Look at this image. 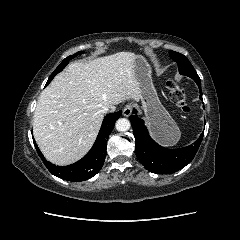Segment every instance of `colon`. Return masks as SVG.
<instances>
[{"mask_svg": "<svg viewBox=\"0 0 240 240\" xmlns=\"http://www.w3.org/2000/svg\"><path fill=\"white\" fill-rule=\"evenodd\" d=\"M166 86L169 90L171 101L183 112L191 113L192 108L186 101V96L183 89L173 80H168Z\"/></svg>", "mask_w": 240, "mask_h": 240, "instance_id": "obj_1", "label": "colon"}]
</instances>
